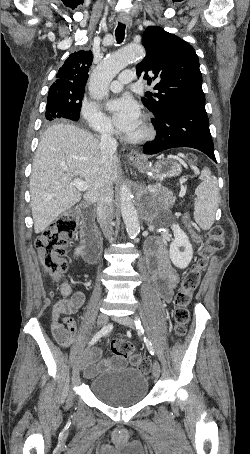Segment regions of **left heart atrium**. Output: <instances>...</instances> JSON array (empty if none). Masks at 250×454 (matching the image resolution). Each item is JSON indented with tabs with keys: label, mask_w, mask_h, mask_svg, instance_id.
<instances>
[{
	"label": "left heart atrium",
	"mask_w": 250,
	"mask_h": 454,
	"mask_svg": "<svg viewBox=\"0 0 250 454\" xmlns=\"http://www.w3.org/2000/svg\"><path fill=\"white\" fill-rule=\"evenodd\" d=\"M106 108L115 126L126 134L140 122L139 106L130 96L114 98L107 103Z\"/></svg>",
	"instance_id": "1"
}]
</instances>
